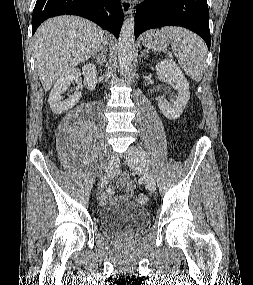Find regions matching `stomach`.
<instances>
[{
	"label": "stomach",
	"mask_w": 253,
	"mask_h": 285,
	"mask_svg": "<svg viewBox=\"0 0 253 285\" xmlns=\"http://www.w3.org/2000/svg\"><path fill=\"white\" fill-rule=\"evenodd\" d=\"M142 44L153 51L163 52L170 45V39L161 30H151L145 34Z\"/></svg>",
	"instance_id": "0dacf381"
}]
</instances>
